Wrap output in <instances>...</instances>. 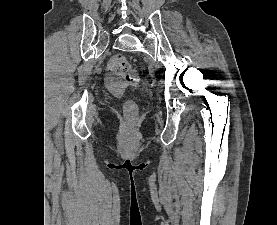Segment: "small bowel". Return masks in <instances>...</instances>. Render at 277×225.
<instances>
[{
    "label": "small bowel",
    "instance_id": "1",
    "mask_svg": "<svg viewBox=\"0 0 277 225\" xmlns=\"http://www.w3.org/2000/svg\"><path fill=\"white\" fill-rule=\"evenodd\" d=\"M107 82L109 83V85L113 86L117 83L116 79L114 77H107Z\"/></svg>",
    "mask_w": 277,
    "mask_h": 225
}]
</instances>
